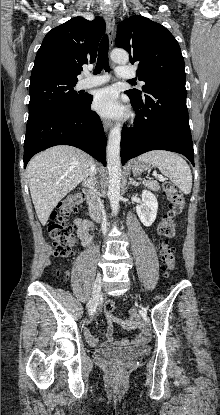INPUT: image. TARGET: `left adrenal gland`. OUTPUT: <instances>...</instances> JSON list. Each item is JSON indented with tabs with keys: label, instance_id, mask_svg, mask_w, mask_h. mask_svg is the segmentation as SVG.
Masks as SVG:
<instances>
[{
	"label": "left adrenal gland",
	"instance_id": "a2214340",
	"mask_svg": "<svg viewBox=\"0 0 220 415\" xmlns=\"http://www.w3.org/2000/svg\"><path fill=\"white\" fill-rule=\"evenodd\" d=\"M138 182H136L132 177H129V182H128V186L130 185H134V186H138Z\"/></svg>",
	"mask_w": 220,
	"mask_h": 415
}]
</instances>
